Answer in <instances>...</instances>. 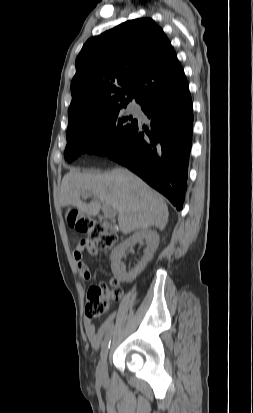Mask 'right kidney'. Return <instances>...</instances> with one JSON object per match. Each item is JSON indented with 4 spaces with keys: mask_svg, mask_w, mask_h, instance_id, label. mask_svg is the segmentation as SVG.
<instances>
[{
    "mask_svg": "<svg viewBox=\"0 0 253 413\" xmlns=\"http://www.w3.org/2000/svg\"><path fill=\"white\" fill-rule=\"evenodd\" d=\"M145 240L146 248L141 261L129 272H126L125 267L121 266V259L125 257V252L128 248H132L136 243ZM159 245V235L152 230H139L125 240L111 254V269L115 278L119 281L131 282L138 274H140L147 263L153 258L154 252Z\"/></svg>",
    "mask_w": 253,
    "mask_h": 413,
    "instance_id": "ca27d5eb",
    "label": "right kidney"
}]
</instances>
